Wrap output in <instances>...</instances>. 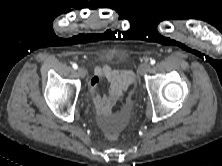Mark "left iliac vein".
I'll return each mask as SVG.
<instances>
[{"label": "left iliac vein", "instance_id": "obj_1", "mask_svg": "<svg viewBox=\"0 0 222 166\" xmlns=\"http://www.w3.org/2000/svg\"><path fill=\"white\" fill-rule=\"evenodd\" d=\"M151 69V65L149 63H143L141 64L140 68H139V72L141 75L146 74L150 71Z\"/></svg>", "mask_w": 222, "mask_h": 166}]
</instances>
